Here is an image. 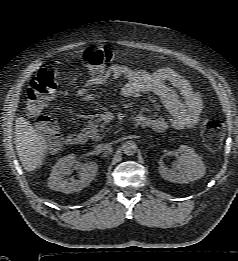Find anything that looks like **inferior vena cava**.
<instances>
[{
	"instance_id": "obj_1",
	"label": "inferior vena cava",
	"mask_w": 238,
	"mask_h": 261,
	"mask_svg": "<svg viewBox=\"0 0 238 261\" xmlns=\"http://www.w3.org/2000/svg\"><path fill=\"white\" fill-rule=\"evenodd\" d=\"M109 147H110V145L107 144V143L99 144V145L96 146L95 150H96L97 153H101V152L108 150Z\"/></svg>"
}]
</instances>
